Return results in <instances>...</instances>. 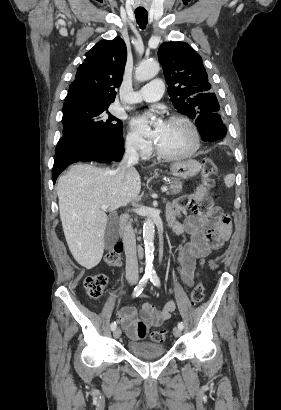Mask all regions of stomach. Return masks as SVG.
I'll list each match as a JSON object with an SVG mask.
<instances>
[{"label": "stomach", "instance_id": "0dacf381", "mask_svg": "<svg viewBox=\"0 0 281 410\" xmlns=\"http://www.w3.org/2000/svg\"><path fill=\"white\" fill-rule=\"evenodd\" d=\"M201 165L198 161L187 159L175 162L170 165V172L173 176L181 179L194 177L199 173Z\"/></svg>", "mask_w": 281, "mask_h": 410}]
</instances>
